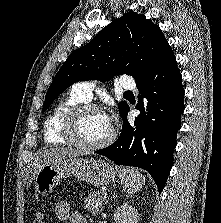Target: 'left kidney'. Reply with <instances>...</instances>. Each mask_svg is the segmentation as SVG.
<instances>
[{"mask_svg": "<svg viewBox=\"0 0 221 223\" xmlns=\"http://www.w3.org/2000/svg\"><path fill=\"white\" fill-rule=\"evenodd\" d=\"M138 218L137 210L128 204L120 206L114 213L116 223H137Z\"/></svg>", "mask_w": 221, "mask_h": 223, "instance_id": "1", "label": "left kidney"}]
</instances>
